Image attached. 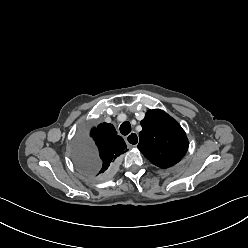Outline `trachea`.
<instances>
[{
    "label": "trachea",
    "instance_id": "3493384b",
    "mask_svg": "<svg viewBox=\"0 0 248 248\" xmlns=\"http://www.w3.org/2000/svg\"><path fill=\"white\" fill-rule=\"evenodd\" d=\"M120 132L123 135H128L131 132V125L129 122H124L120 125Z\"/></svg>",
    "mask_w": 248,
    "mask_h": 248
}]
</instances>
